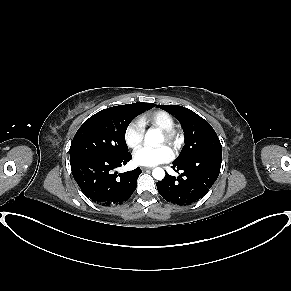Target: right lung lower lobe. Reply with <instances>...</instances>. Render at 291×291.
<instances>
[{"instance_id": "98d812e1", "label": "right lung lower lobe", "mask_w": 291, "mask_h": 291, "mask_svg": "<svg viewBox=\"0 0 291 291\" xmlns=\"http://www.w3.org/2000/svg\"><path fill=\"white\" fill-rule=\"evenodd\" d=\"M132 159L131 153L117 156H82L70 160L73 177L84 194L102 206L122 204L136 189L138 167L133 171L113 173ZM118 174V175H117Z\"/></svg>"}]
</instances>
